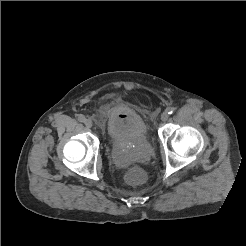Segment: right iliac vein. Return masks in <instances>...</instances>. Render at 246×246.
I'll return each mask as SVG.
<instances>
[{
	"label": "right iliac vein",
	"instance_id": "obj_1",
	"mask_svg": "<svg viewBox=\"0 0 246 246\" xmlns=\"http://www.w3.org/2000/svg\"><path fill=\"white\" fill-rule=\"evenodd\" d=\"M84 124H85L86 127H89V128L93 126V122L89 118L84 120Z\"/></svg>",
	"mask_w": 246,
	"mask_h": 246
}]
</instances>
